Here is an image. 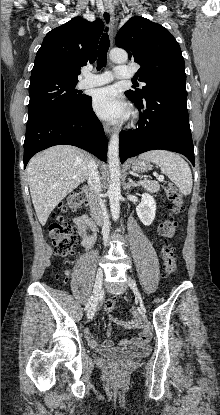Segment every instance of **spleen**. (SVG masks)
<instances>
[{"label": "spleen", "instance_id": "3e777b00", "mask_svg": "<svg viewBox=\"0 0 220 415\" xmlns=\"http://www.w3.org/2000/svg\"><path fill=\"white\" fill-rule=\"evenodd\" d=\"M139 158L159 166L162 173L169 177L182 194L191 193L192 173L187 162L179 155L170 151L154 150L141 154Z\"/></svg>", "mask_w": 220, "mask_h": 415}]
</instances>
